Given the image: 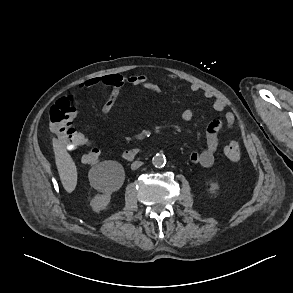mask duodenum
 <instances>
[{"label":"duodenum","instance_id":"410a0bca","mask_svg":"<svg viewBox=\"0 0 293 293\" xmlns=\"http://www.w3.org/2000/svg\"><path fill=\"white\" fill-rule=\"evenodd\" d=\"M139 154V150L134 148V149H128L125 150L122 153V157L127 160V161H132L136 158V156Z\"/></svg>","mask_w":293,"mask_h":293}]
</instances>
